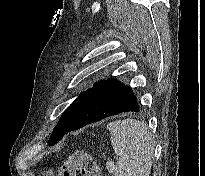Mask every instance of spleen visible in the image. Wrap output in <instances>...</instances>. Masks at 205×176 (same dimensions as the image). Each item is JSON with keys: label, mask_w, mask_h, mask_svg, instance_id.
<instances>
[{"label": "spleen", "mask_w": 205, "mask_h": 176, "mask_svg": "<svg viewBox=\"0 0 205 176\" xmlns=\"http://www.w3.org/2000/svg\"><path fill=\"white\" fill-rule=\"evenodd\" d=\"M111 144L119 159L115 176H149L154 145L146 124L134 119L109 123Z\"/></svg>", "instance_id": "obj_1"}]
</instances>
